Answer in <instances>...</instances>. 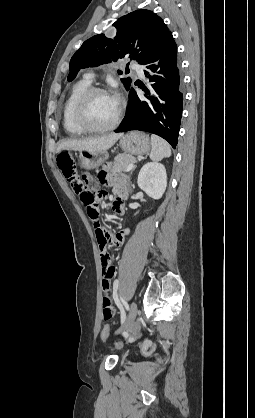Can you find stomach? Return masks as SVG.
Here are the masks:
<instances>
[{
	"mask_svg": "<svg viewBox=\"0 0 255 418\" xmlns=\"http://www.w3.org/2000/svg\"><path fill=\"white\" fill-rule=\"evenodd\" d=\"M119 145L125 154L128 155H144L149 153L151 143L148 135L142 132L133 131L120 137ZM106 151L97 152H81L80 162L84 169H96L101 166L107 159Z\"/></svg>",
	"mask_w": 255,
	"mask_h": 418,
	"instance_id": "stomach-1",
	"label": "stomach"
}]
</instances>
